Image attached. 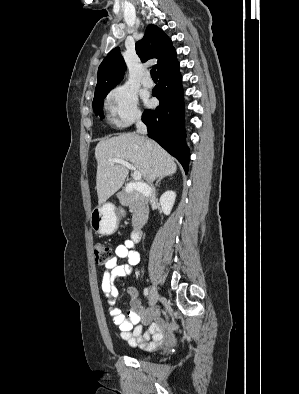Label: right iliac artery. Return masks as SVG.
I'll return each mask as SVG.
<instances>
[{
    "mask_svg": "<svg viewBox=\"0 0 299 394\" xmlns=\"http://www.w3.org/2000/svg\"><path fill=\"white\" fill-rule=\"evenodd\" d=\"M148 294H149V290H148V288H145V289H144V296L147 297Z\"/></svg>",
    "mask_w": 299,
    "mask_h": 394,
    "instance_id": "1",
    "label": "right iliac artery"
}]
</instances>
